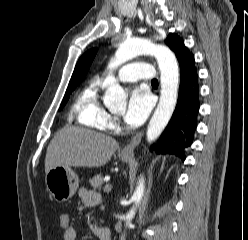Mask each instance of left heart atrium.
<instances>
[{
  "instance_id": "left-heart-atrium-1",
  "label": "left heart atrium",
  "mask_w": 248,
  "mask_h": 240,
  "mask_svg": "<svg viewBox=\"0 0 248 240\" xmlns=\"http://www.w3.org/2000/svg\"><path fill=\"white\" fill-rule=\"evenodd\" d=\"M153 106L150 93L144 87H135L131 90L127 109L124 115L125 122L136 127L148 117Z\"/></svg>"
}]
</instances>
